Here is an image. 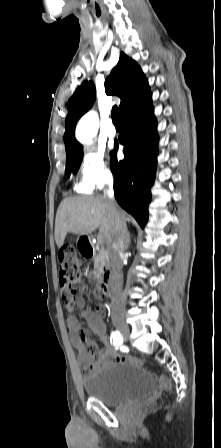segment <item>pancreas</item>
<instances>
[{
	"label": "pancreas",
	"instance_id": "pancreas-1",
	"mask_svg": "<svg viewBox=\"0 0 221 448\" xmlns=\"http://www.w3.org/2000/svg\"><path fill=\"white\" fill-rule=\"evenodd\" d=\"M105 260H107L106 252L100 251L98 256L94 259V266L96 268L102 267L104 265Z\"/></svg>",
	"mask_w": 221,
	"mask_h": 448
}]
</instances>
